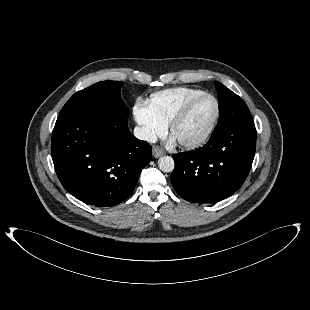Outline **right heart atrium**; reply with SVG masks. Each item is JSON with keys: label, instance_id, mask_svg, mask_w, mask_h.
<instances>
[{"label": "right heart atrium", "instance_id": "d8ad5b80", "mask_svg": "<svg viewBox=\"0 0 310 310\" xmlns=\"http://www.w3.org/2000/svg\"><path fill=\"white\" fill-rule=\"evenodd\" d=\"M133 115L143 140L152 142L165 133L167 124L155 116L147 102L137 103L133 108Z\"/></svg>", "mask_w": 310, "mask_h": 310}]
</instances>
